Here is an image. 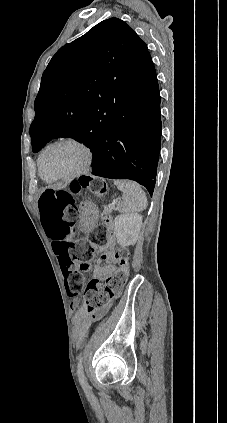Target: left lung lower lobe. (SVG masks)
<instances>
[{
    "label": "left lung lower lobe",
    "instance_id": "left-lung-lower-lobe-1",
    "mask_svg": "<svg viewBox=\"0 0 227 423\" xmlns=\"http://www.w3.org/2000/svg\"><path fill=\"white\" fill-rule=\"evenodd\" d=\"M160 94L156 75L136 112H106L97 131L83 138L93 152L92 174L130 179L152 195L161 146Z\"/></svg>",
    "mask_w": 227,
    "mask_h": 423
}]
</instances>
